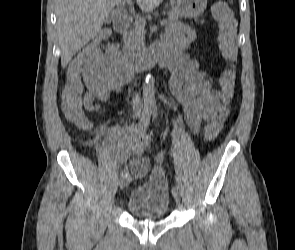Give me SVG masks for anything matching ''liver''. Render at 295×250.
<instances>
[{
  "label": "liver",
  "instance_id": "obj_1",
  "mask_svg": "<svg viewBox=\"0 0 295 250\" xmlns=\"http://www.w3.org/2000/svg\"><path fill=\"white\" fill-rule=\"evenodd\" d=\"M123 0H57V34L61 65L66 67L73 55L102 29L112 9ZM163 0H136L142 11L150 12Z\"/></svg>",
  "mask_w": 295,
  "mask_h": 250
}]
</instances>
